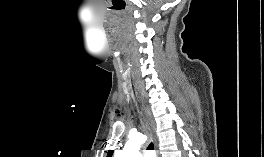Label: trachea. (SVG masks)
<instances>
[{
	"label": "trachea",
	"instance_id": "3493384b",
	"mask_svg": "<svg viewBox=\"0 0 264 157\" xmlns=\"http://www.w3.org/2000/svg\"><path fill=\"white\" fill-rule=\"evenodd\" d=\"M154 146H153V143H150L149 146H148V150H153Z\"/></svg>",
	"mask_w": 264,
	"mask_h": 157
}]
</instances>
